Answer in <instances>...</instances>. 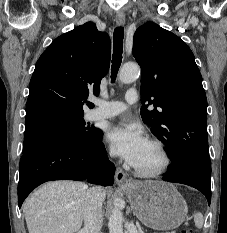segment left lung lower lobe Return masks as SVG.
I'll list each match as a JSON object with an SVG mask.
<instances>
[{
	"mask_svg": "<svg viewBox=\"0 0 227 233\" xmlns=\"http://www.w3.org/2000/svg\"><path fill=\"white\" fill-rule=\"evenodd\" d=\"M211 172L198 167H184L168 171L163 180L174 183L186 184L201 191L210 205L211 202Z\"/></svg>",
	"mask_w": 227,
	"mask_h": 233,
	"instance_id": "1",
	"label": "left lung lower lobe"
}]
</instances>
